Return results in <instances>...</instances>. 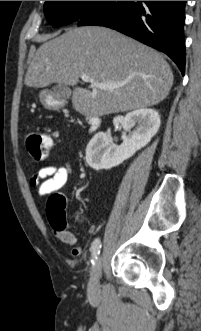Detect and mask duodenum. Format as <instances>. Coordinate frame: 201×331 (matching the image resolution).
Segmentation results:
<instances>
[{
  "label": "duodenum",
  "mask_w": 201,
  "mask_h": 331,
  "mask_svg": "<svg viewBox=\"0 0 201 331\" xmlns=\"http://www.w3.org/2000/svg\"><path fill=\"white\" fill-rule=\"evenodd\" d=\"M88 123L90 126V131H94L100 126L101 118L98 116H90L88 117Z\"/></svg>",
  "instance_id": "duodenum-1"
}]
</instances>
